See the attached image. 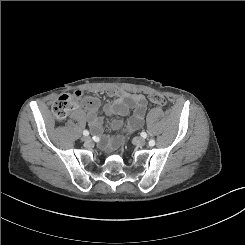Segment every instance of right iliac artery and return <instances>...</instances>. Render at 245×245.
Segmentation results:
<instances>
[{"instance_id": "right-iliac-artery-1", "label": "right iliac artery", "mask_w": 245, "mask_h": 245, "mask_svg": "<svg viewBox=\"0 0 245 245\" xmlns=\"http://www.w3.org/2000/svg\"><path fill=\"white\" fill-rule=\"evenodd\" d=\"M83 135L88 136L89 135V132L87 130H84L83 131Z\"/></svg>"}]
</instances>
